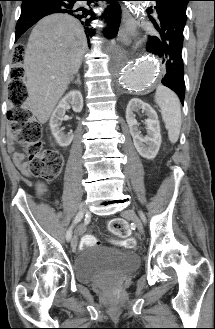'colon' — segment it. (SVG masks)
I'll list each match as a JSON object with an SVG mask.
<instances>
[{
    "mask_svg": "<svg viewBox=\"0 0 215 329\" xmlns=\"http://www.w3.org/2000/svg\"><path fill=\"white\" fill-rule=\"evenodd\" d=\"M17 51L20 55L15 56L11 73L22 74L23 50L19 47ZM27 100L28 91L21 75L13 76L9 84L11 109L8 118L13 131L16 133L18 143L25 147L28 172L37 178L53 180L61 171L62 157L58 151L44 148L41 142L42 127L27 107ZM109 230L114 236L126 239L125 248L134 246V240L128 238L129 226L125 220L121 218L112 219L109 223ZM98 243V239L94 236L85 235L82 237L80 244L81 247H87Z\"/></svg>",
    "mask_w": 215,
    "mask_h": 329,
    "instance_id": "5ec220e1",
    "label": "colon"
}]
</instances>
